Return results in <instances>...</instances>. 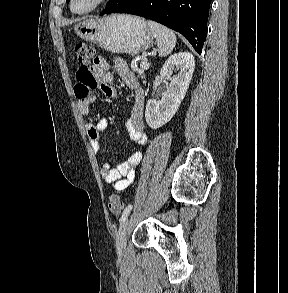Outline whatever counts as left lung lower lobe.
I'll return each mask as SVG.
<instances>
[{
	"instance_id": "0a47b994",
	"label": "left lung lower lobe",
	"mask_w": 288,
	"mask_h": 293,
	"mask_svg": "<svg viewBox=\"0 0 288 293\" xmlns=\"http://www.w3.org/2000/svg\"><path fill=\"white\" fill-rule=\"evenodd\" d=\"M211 0H114L100 13H128L181 33L200 54L206 39Z\"/></svg>"
}]
</instances>
